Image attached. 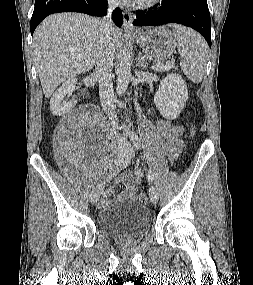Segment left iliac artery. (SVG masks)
Listing matches in <instances>:
<instances>
[{
  "mask_svg": "<svg viewBox=\"0 0 253 285\" xmlns=\"http://www.w3.org/2000/svg\"><path fill=\"white\" fill-rule=\"evenodd\" d=\"M130 137H131V140H132L134 146H135L137 149H140V148H141V140H140V138L138 137V135L132 133ZM147 178H148V182H149V183H152V182H153V180H154V174H153V172H152L151 169L148 170Z\"/></svg>",
  "mask_w": 253,
  "mask_h": 285,
  "instance_id": "left-iliac-artery-1",
  "label": "left iliac artery"
}]
</instances>
